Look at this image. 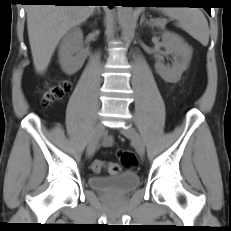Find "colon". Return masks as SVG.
Here are the masks:
<instances>
[{"label": "colon", "instance_id": "5ec220e1", "mask_svg": "<svg viewBox=\"0 0 231 231\" xmlns=\"http://www.w3.org/2000/svg\"><path fill=\"white\" fill-rule=\"evenodd\" d=\"M72 88L70 79H63L56 83L49 84L40 88L42 104L45 107L50 106L53 102L63 98ZM121 164L128 169H132L137 165L136 155L132 151H122L119 154ZM105 167L111 174L119 172V166L114 163L106 164L102 160H95L92 164V170L95 173L101 172Z\"/></svg>", "mask_w": 231, "mask_h": 231}]
</instances>
